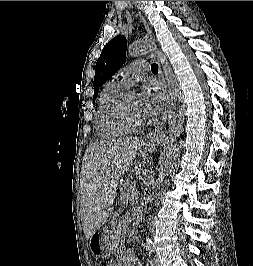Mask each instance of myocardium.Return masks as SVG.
Wrapping results in <instances>:
<instances>
[{"mask_svg": "<svg viewBox=\"0 0 253 266\" xmlns=\"http://www.w3.org/2000/svg\"><path fill=\"white\" fill-rule=\"evenodd\" d=\"M129 94L130 92H124L117 101L114 108V117L122 127L128 130H136L143 124V119H135L129 114L126 106Z\"/></svg>", "mask_w": 253, "mask_h": 266, "instance_id": "f54148a6", "label": "myocardium"}]
</instances>
